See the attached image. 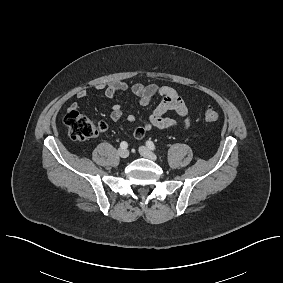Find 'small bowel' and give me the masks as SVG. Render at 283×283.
<instances>
[{
	"mask_svg": "<svg viewBox=\"0 0 283 283\" xmlns=\"http://www.w3.org/2000/svg\"><path fill=\"white\" fill-rule=\"evenodd\" d=\"M97 89L104 91V94L113 98L115 95L125 93L129 90V86L125 82L116 81L106 85H99ZM130 92L138 99V103L141 106H148L154 97H160L161 100L156 105L154 110L149 115L147 121L142 122L135 126L133 129V135L135 138L140 139L144 137L148 132L154 128L169 129L177 125V121L167 116L170 111L175 112L182 118L183 128H188L190 125V119L188 117V110L178 92L168 85L157 84H142L136 83L130 87ZM87 91L80 89L75 93L78 99H84L87 97ZM70 110H77L78 105L73 103L70 105ZM124 109L121 105H113L110 118L112 121H119L124 115ZM127 121L131 124L136 122V117L133 114L127 116Z\"/></svg>",
	"mask_w": 283,
	"mask_h": 283,
	"instance_id": "obj_1",
	"label": "small bowel"
}]
</instances>
